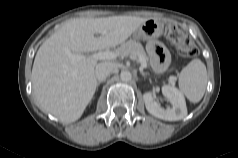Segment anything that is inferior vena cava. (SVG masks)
Segmentation results:
<instances>
[{"mask_svg":"<svg viewBox=\"0 0 238 158\" xmlns=\"http://www.w3.org/2000/svg\"><path fill=\"white\" fill-rule=\"evenodd\" d=\"M112 72V66L109 63H99L95 68V76L98 81H104Z\"/></svg>","mask_w":238,"mask_h":158,"instance_id":"602c4592","label":"inferior vena cava"}]
</instances>
